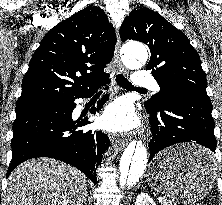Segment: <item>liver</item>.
I'll use <instances>...</instances> for the list:
<instances>
[{
	"mask_svg": "<svg viewBox=\"0 0 222 205\" xmlns=\"http://www.w3.org/2000/svg\"><path fill=\"white\" fill-rule=\"evenodd\" d=\"M87 178L58 160L37 158L20 164L9 176L6 205H83Z\"/></svg>",
	"mask_w": 222,
	"mask_h": 205,
	"instance_id": "1",
	"label": "liver"
}]
</instances>
